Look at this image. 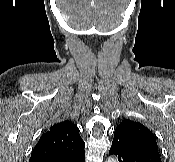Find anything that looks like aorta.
Masks as SVG:
<instances>
[{
  "label": "aorta",
  "instance_id": "762f6f07",
  "mask_svg": "<svg viewBox=\"0 0 175 162\" xmlns=\"http://www.w3.org/2000/svg\"><path fill=\"white\" fill-rule=\"evenodd\" d=\"M106 162H118V161L116 157L112 156V157H109Z\"/></svg>",
  "mask_w": 175,
  "mask_h": 162
}]
</instances>
